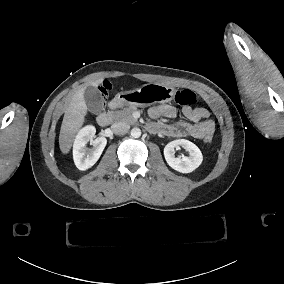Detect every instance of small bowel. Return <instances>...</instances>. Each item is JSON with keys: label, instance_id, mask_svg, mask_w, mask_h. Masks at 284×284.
Masks as SVG:
<instances>
[{"label": "small bowel", "instance_id": "c3829d8e", "mask_svg": "<svg viewBox=\"0 0 284 284\" xmlns=\"http://www.w3.org/2000/svg\"><path fill=\"white\" fill-rule=\"evenodd\" d=\"M182 114L188 121H177L172 124L160 122L159 119L177 117V109L168 104L152 106L148 110L149 117L153 120L149 124L152 131H159L165 136L174 138L193 137L205 139L212 136L215 131V123L209 119V111L203 107H183Z\"/></svg>", "mask_w": 284, "mask_h": 284}]
</instances>
